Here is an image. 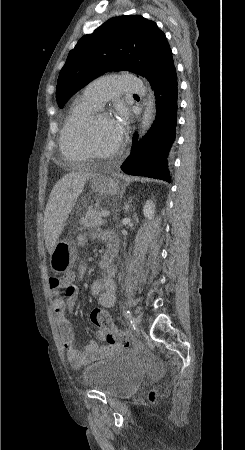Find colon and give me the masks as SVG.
I'll use <instances>...</instances> for the list:
<instances>
[{"label":"colon","instance_id":"obj_1","mask_svg":"<svg viewBox=\"0 0 245 450\" xmlns=\"http://www.w3.org/2000/svg\"><path fill=\"white\" fill-rule=\"evenodd\" d=\"M62 281H68L67 277H63ZM91 322L99 329L103 330L105 334V339L112 344L127 347L129 346L128 336L117 329L108 313L101 308H95L91 312ZM157 396L155 391H150L149 399L154 401Z\"/></svg>","mask_w":245,"mask_h":450}]
</instances>
